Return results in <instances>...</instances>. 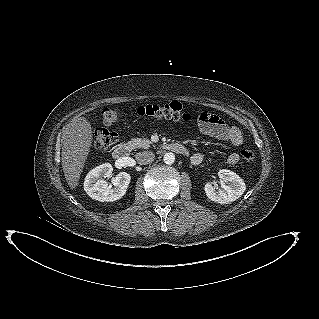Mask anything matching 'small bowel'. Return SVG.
Returning a JSON list of instances; mask_svg holds the SVG:
<instances>
[{"label": "small bowel", "mask_w": 319, "mask_h": 319, "mask_svg": "<svg viewBox=\"0 0 319 319\" xmlns=\"http://www.w3.org/2000/svg\"><path fill=\"white\" fill-rule=\"evenodd\" d=\"M199 127L203 133L214 137L220 141L228 142L235 147L243 144L244 138L242 132L235 126H229L221 118L206 112L202 119H199ZM205 156L202 153H194L191 155V163L195 166L200 165ZM240 156L237 152L228 155L226 162L229 165L238 163Z\"/></svg>", "instance_id": "1"}]
</instances>
